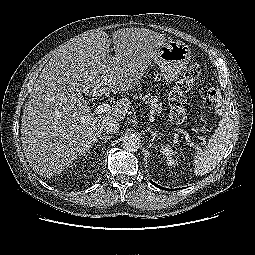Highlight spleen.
I'll list each match as a JSON object with an SVG mask.
<instances>
[{
  "label": "spleen",
  "mask_w": 255,
  "mask_h": 255,
  "mask_svg": "<svg viewBox=\"0 0 255 255\" xmlns=\"http://www.w3.org/2000/svg\"><path fill=\"white\" fill-rule=\"evenodd\" d=\"M232 136L231 121L228 118H222L207 147L194 155L196 175H204L215 169L231 143Z\"/></svg>",
  "instance_id": "spleen-1"
}]
</instances>
